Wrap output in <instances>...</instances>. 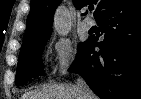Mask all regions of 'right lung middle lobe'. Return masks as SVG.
Here are the masks:
<instances>
[{
	"mask_svg": "<svg viewBox=\"0 0 141 99\" xmlns=\"http://www.w3.org/2000/svg\"><path fill=\"white\" fill-rule=\"evenodd\" d=\"M49 37L50 35H47L37 41L22 45L15 79L17 86L22 85L30 78L44 75L40 61L44 46ZM84 44L85 42L79 44L78 51Z\"/></svg>",
	"mask_w": 141,
	"mask_h": 99,
	"instance_id": "dd1d6c3e",
	"label": "right lung middle lobe"
}]
</instances>
